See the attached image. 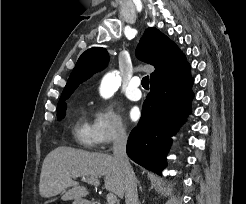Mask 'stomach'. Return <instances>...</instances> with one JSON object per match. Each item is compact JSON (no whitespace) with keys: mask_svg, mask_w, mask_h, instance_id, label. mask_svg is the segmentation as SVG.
I'll use <instances>...</instances> for the list:
<instances>
[{"mask_svg":"<svg viewBox=\"0 0 246 204\" xmlns=\"http://www.w3.org/2000/svg\"><path fill=\"white\" fill-rule=\"evenodd\" d=\"M73 204H90V202L85 199H80V200H74Z\"/></svg>","mask_w":246,"mask_h":204,"instance_id":"obj_1","label":"stomach"}]
</instances>
